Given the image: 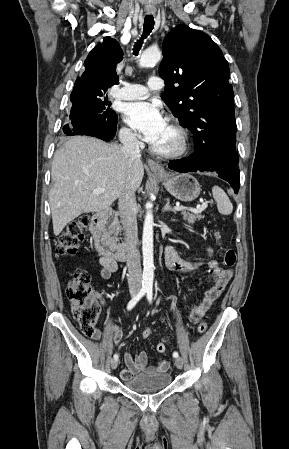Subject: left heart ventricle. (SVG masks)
Segmentation results:
<instances>
[{
	"label": "left heart ventricle",
	"instance_id": "1",
	"mask_svg": "<svg viewBox=\"0 0 289 449\" xmlns=\"http://www.w3.org/2000/svg\"><path fill=\"white\" fill-rule=\"evenodd\" d=\"M177 142L176 133L167 125L153 146L159 150H171L177 145Z\"/></svg>",
	"mask_w": 289,
	"mask_h": 449
}]
</instances>
